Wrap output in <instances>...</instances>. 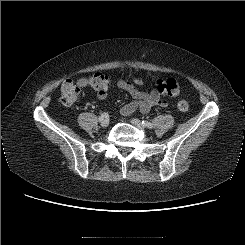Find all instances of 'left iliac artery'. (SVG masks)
<instances>
[{"instance_id":"obj_1","label":"left iliac artery","mask_w":245,"mask_h":245,"mask_svg":"<svg viewBox=\"0 0 245 245\" xmlns=\"http://www.w3.org/2000/svg\"><path fill=\"white\" fill-rule=\"evenodd\" d=\"M142 124L145 126V127H147V128H150V129H152L153 128V124L152 123H150V122H148V121H142Z\"/></svg>"}]
</instances>
